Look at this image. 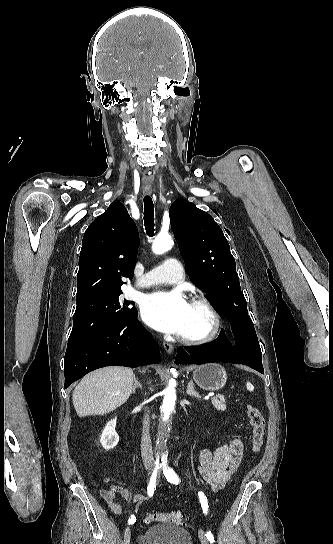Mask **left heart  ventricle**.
Here are the masks:
<instances>
[{"mask_svg": "<svg viewBox=\"0 0 333 544\" xmlns=\"http://www.w3.org/2000/svg\"><path fill=\"white\" fill-rule=\"evenodd\" d=\"M211 319L200 305L189 304L185 326L180 333L183 336L197 337L204 335L210 328Z\"/></svg>", "mask_w": 333, "mask_h": 544, "instance_id": "b2bd125f", "label": "left heart ventricle"}]
</instances>
